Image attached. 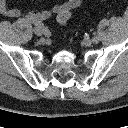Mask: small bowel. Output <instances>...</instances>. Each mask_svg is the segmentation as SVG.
<instances>
[{"label": "small bowel", "instance_id": "1", "mask_svg": "<svg viewBox=\"0 0 128 128\" xmlns=\"http://www.w3.org/2000/svg\"><path fill=\"white\" fill-rule=\"evenodd\" d=\"M80 4L81 0H66L63 3L54 5L50 9L30 11L26 15V19L35 25H40L43 21L49 19L54 14H58L61 10H73ZM0 15L8 18H18L21 16V11L18 8L9 7L6 0H0Z\"/></svg>", "mask_w": 128, "mask_h": 128}]
</instances>
